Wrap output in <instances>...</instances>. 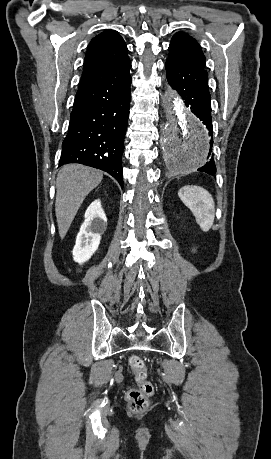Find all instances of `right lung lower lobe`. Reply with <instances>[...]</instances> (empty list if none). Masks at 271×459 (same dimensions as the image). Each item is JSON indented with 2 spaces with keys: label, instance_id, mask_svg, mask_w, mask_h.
I'll use <instances>...</instances> for the list:
<instances>
[{
  "label": "right lung lower lobe",
  "instance_id": "obj_1",
  "mask_svg": "<svg viewBox=\"0 0 271 459\" xmlns=\"http://www.w3.org/2000/svg\"><path fill=\"white\" fill-rule=\"evenodd\" d=\"M131 81L128 72L76 94L59 166L80 163L98 168L123 187L122 154Z\"/></svg>",
  "mask_w": 271,
  "mask_h": 459
}]
</instances>
